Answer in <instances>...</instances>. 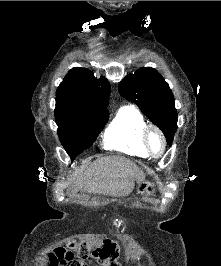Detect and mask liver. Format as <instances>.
<instances>
[{
    "label": "liver",
    "instance_id": "liver-1",
    "mask_svg": "<svg viewBox=\"0 0 221 266\" xmlns=\"http://www.w3.org/2000/svg\"><path fill=\"white\" fill-rule=\"evenodd\" d=\"M144 179L143 173L131 160L122 156H109L89 164L72 185L75 190L88 193L124 197L129 195L135 181Z\"/></svg>",
    "mask_w": 221,
    "mask_h": 266
}]
</instances>
